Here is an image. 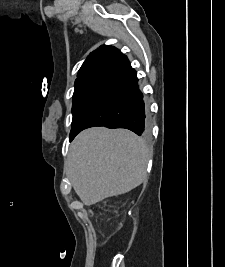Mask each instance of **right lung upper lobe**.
<instances>
[{
	"mask_svg": "<svg viewBox=\"0 0 225 267\" xmlns=\"http://www.w3.org/2000/svg\"><path fill=\"white\" fill-rule=\"evenodd\" d=\"M120 55L122 53L113 46L99 47L84 61L75 83L88 78H98Z\"/></svg>",
	"mask_w": 225,
	"mask_h": 267,
	"instance_id": "cb5924a9",
	"label": "right lung upper lobe"
}]
</instances>
